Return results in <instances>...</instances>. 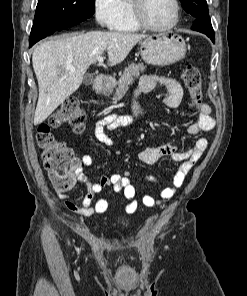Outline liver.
<instances>
[{
  "label": "liver",
  "instance_id": "1",
  "mask_svg": "<svg viewBox=\"0 0 247 296\" xmlns=\"http://www.w3.org/2000/svg\"><path fill=\"white\" fill-rule=\"evenodd\" d=\"M145 37L135 33L91 31L45 41L37 46L32 54L39 87L34 125L45 121L80 87L88 67L105 51L108 52V65H117Z\"/></svg>",
  "mask_w": 247,
  "mask_h": 296
}]
</instances>
